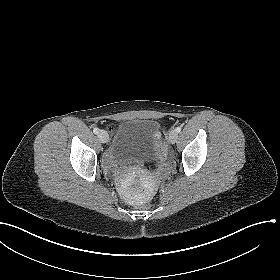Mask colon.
I'll return each mask as SVG.
<instances>
[{
  "label": "colon",
  "instance_id": "1",
  "mask_svg": "<svg viewBox=\"0 0 280 280\" xmlns=\"http://www.w3.org/2000/svg\"><path fill=\"white\" fill-rule=\"evenodd\" d=\"M140 207H141V208H149V207H151V203H150V202L142 203V204L140 205Z\"/></svg>",
  "mask_w": 280,
  "mask_h": 280
}]
</instances>
